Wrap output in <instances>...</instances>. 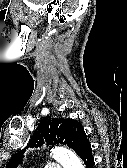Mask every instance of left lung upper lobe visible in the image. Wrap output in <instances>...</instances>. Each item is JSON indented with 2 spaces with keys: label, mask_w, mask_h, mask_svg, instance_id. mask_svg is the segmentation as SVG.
Masks as SVG:
<instances>
[{
  "label": "left lung upper lobe",
  "mask_w": 127,
  "mask_h": 168,
  "mask_svg": "<svg viewBox=\"0 0 127 168\" xmlns=\"http://www.w3.org/2000/svg\"><path fill=\"white\" fill-rule=\"evenodd\" d=\"M85 139L87 136L80 122L60 117H45L37 124L26 148L41 147L44 143L50 145L65 144L77 153ZM24 153L25 149L14 154L7 168H16L21 163Z\"/></svg>",
  "instance_id": "obj_1"
}]
</instances>
